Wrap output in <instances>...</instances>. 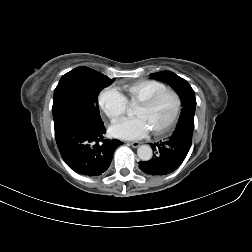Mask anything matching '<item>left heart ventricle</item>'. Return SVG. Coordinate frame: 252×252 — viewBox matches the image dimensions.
<instances>
[{
  "mask_svg": "<svg viewBox=\"0 0 252 252\" xmlns=\"http://www.w3.org/2000/svg\"><path fill=\"white\" fill-rule=\"evenodd\" d=\"M175 107L176 99L174 95L165 93L149 107L138 105L135 110V116L144 119L149 131H156L164 128L168 124Z\"/></svg>",
  "mask_w": 252,
  "mask_h": 252,
  "instance_id": "b2bd125f",
  "label": "left heart ventricle"
}]
</instances>
